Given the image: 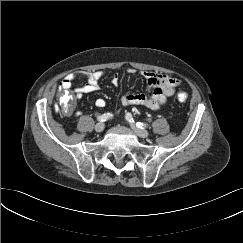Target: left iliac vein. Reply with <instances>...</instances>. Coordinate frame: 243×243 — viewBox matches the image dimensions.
<instances>
[{"label": "left iliac vein", "mask_w": 243, "mask_h": 243, "mask_svg": "<svg viewBox=\"0 0 243 243\" xmlns=\"http://www.w3.org/2000/svg\"><path fill=\"white\" fill-rule=\"evenodd\" d=\"M131 128L134 130V132L141 138H147L149 136V133L145 129L138 128L135 123L129 122Z\"/></svg>", "instance_id": "1"}]
</instances>
